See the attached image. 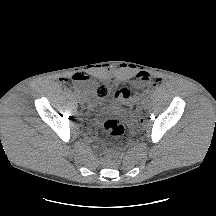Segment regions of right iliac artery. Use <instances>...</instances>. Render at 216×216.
I'll return each mask as SVG.
<instances>
[{
	"label": "right iliac artery",
	"mask_w": 216,
	"mask_h": 216,
	"mask_svg": "<svg viewBox=\"0 0 216 216\" xmlns=\"http://www.w3.org/2000/svg\"><path fill=\"white\" fill-rule=\"evenodd\" d=\"M75 94H76L77 96H79V91H75Z\"/></svg>",
	"instance_id": "obj_1"
}]
</instances>
